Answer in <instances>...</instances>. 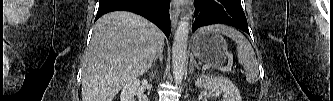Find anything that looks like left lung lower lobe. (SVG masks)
<instances>
[{
	"label": "left lung lower lobe",
	"instance_id": "0a47b994",
	"mask_svg": "<svg viewBox=\"0 0 333 101\" xmlns=\"http://www.w3.org/2000/svg\"><path fill=\"white\" fill-rule=\"evenodd\" d=\"M196 15L192 31L215 23L239 28L249 34L248 24L240 0H194Z\"/></svg>",
	"mask_w": 333,
	"mask_h": 101
}]
</instances>
